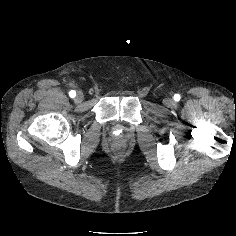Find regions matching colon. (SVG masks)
<instances>
[{
    "label": "colon",
    "instance_id": "obj_1",
    "mask_svg": "<svg viewBox=\"0 0 236 236\" xmlns=\"http://www.w3.org/2000/svg\"><path fill=\"white\" fill-rule=\"evenodd\" d=\"M114 150H115L116 152H120V151L122 150V146H121L120 144H116V145L114 146Z\"/></svg>",
    "mask_w": 236,
    "mask_h": 236
}]
</instances>
